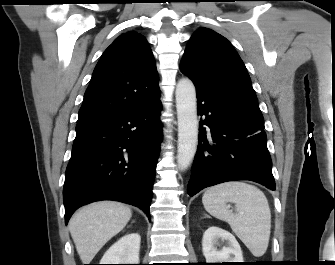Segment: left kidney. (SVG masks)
Listing matches in <instances>:
<instances>
[{
  "instance_id": "left-kidney-1",
  "label": "left kidney",
  "mask_w": 335,
  "mask_h": 265,
  "mask_svg": "<svg viewBox=\"0 0 335 265\" xmlns=\"http://www.w3.org/2000/svg\"><path fill=\"white\" fill-rule=\"evenodd\" d=\"M220 246L222 248L218 249ZM202 251L207 263L243 262L241 247L235 236L216 226L204 232Z\"/></svg>"
}]
</instances>
